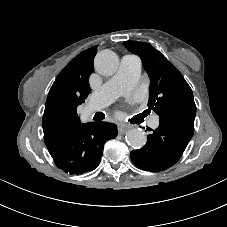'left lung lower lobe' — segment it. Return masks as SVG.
<instances>
[{"instance_id": "obj_1", "label": "left lung lower lobe", "mask_w": 227, "mask_h": 227, "mask_svg": "<svg viewBox=\"0 0 227 227\" xmlns=\"http://www.w3.org/2000/svg\"><path fill=\"white\" fill-rule=\"evenodd\" d=\"M192 136L189 129L160 121L159 127L147 136L145 146L131 151V160L145 171L166 170L181 158Z\"/></svg>"}]
</instances>
